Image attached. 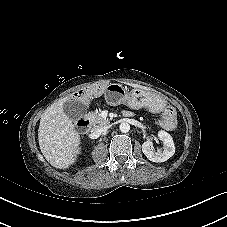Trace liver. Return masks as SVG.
Returning a JSON list of instances; mask_svg holds the SVG:
<instances>
[{
  "label": "liver",
  "instance_id": "liver-1",
  "mask_svg": "<svg viewBox=\"0 0 227 227\" xmlns=\"http://www.w3.org/2000/svg\"><path fill=\"white\" fill-rule=\"evenodd\" d=\"M70 98L52 104L43 113L38 129L41 153L57 169H67L76 162L80 136L63 105Z\"/></svg>",
  "mask_w": 227,
  "mask_h": 227
}]
</instances>
